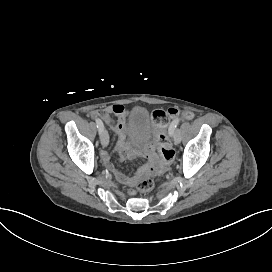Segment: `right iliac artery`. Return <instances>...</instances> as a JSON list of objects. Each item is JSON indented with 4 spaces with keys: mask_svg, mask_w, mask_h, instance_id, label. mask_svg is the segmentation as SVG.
I'll list each match as a JSON object with an SVG mask.
<instances>
[{
    "mask_svg": "<svg viewBox=\"0 0 272 272\" xmlns=\"http://www.w3.org/2000/svg\"><path fill=\"white\" fill-rule=\"evenodd\" d=\"M96 124H97V128L99 129V133H101V131L104 128V124L100 119H96Z\"/></svg>",
    "mask_w": 272,
    "mask_h": 272,
    "instance_id": "82829eb1",
    "label": "right iliac artery"
}]
</instances>
